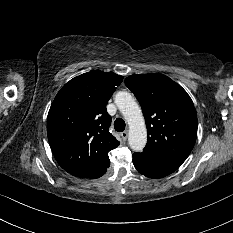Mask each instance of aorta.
I'll return each instance as SVG.
<instances>
[{
    "mask_svg": "<svg viewBox=\"0 0 233 233\" xmlns=\"http://www.w3.org/2000/svg\"><path fill=\"white\" fill-rule=\"evenodd\" d=\"M115 104L129 125L128 143L133 151H142L147 142V130L140 107L132 95L121 91L115 96Z\"/></svg>",
    "mask_w": 233,
    "mask_h": 233,
    "instance_id": "aorta-1",
    "label": "aorta"
}]
</instances>
